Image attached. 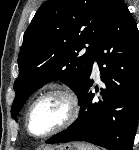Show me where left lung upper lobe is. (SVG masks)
<instances>
[{
	"mask_svg": "<svg viewBox=\"0 0 139 150\" xmlns=\"http://www.w3.org/2000/svg\"><path fill=\"white\" fill-rule=\"evenodd\" d=\"M116 0H48L28 26L18 57L11 115L15 119L29 96L52 80H61L79 95L94 52ZM87 49L83 55H79Z\"/></svg>",
	"mask_w": 139,
	"mask_h": 150,
	"instance_id": "obj_1",
	"label": "left lung upper lobe"
}]
</instances>
